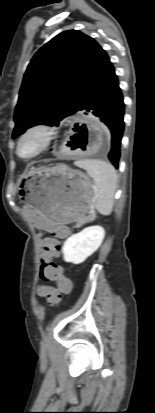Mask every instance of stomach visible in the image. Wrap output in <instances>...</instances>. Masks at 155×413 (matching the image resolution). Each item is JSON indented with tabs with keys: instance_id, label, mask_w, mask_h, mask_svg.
<instances>
[{
	"instance_id": "obj_1",
	"label": "stomach",
	"mask_w": 155,
	"mask_h": 413,
	"mask_svg": "<svg viewBox=\"0 0 155 413\" xmlns=\"http://www.w3.org/2000/svg\"><path fill=\"white\" fill-rule=\"evenodd\" d=\"M18 195L49 222L68 224L88 213L94 202V187L86 174L60 164L24 174Z\"/></svg>"
}]
</instances>
